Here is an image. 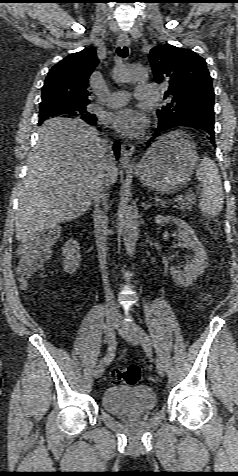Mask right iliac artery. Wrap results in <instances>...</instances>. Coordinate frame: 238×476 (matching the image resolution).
Listing matches in <instances>:
<instances>
[{"mask_svg":"<svg viewBox=\"0 0 238 476\" xmlns=\"http://www.w3.org/2000/svg\"><path fill=\"white\" fill-rule=\"evenodd\" d=\"M106 334H107V344H109L108 346V351H107V354L106 356L100 361V364L102 365H107L109 364L112 359L114 358L115 356V349H116V343H117V340L114 336V331L111 330V328H106Z\"/></svg>","mask_w":238,"mask_h":476,"instance_id":"82829eb1","label":"right iliac artery"}]
</instances>
